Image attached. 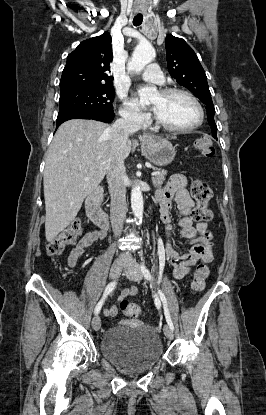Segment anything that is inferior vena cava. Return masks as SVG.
<instances>
[{
	"label": "inferior vena cava",
	"mask_w": 266,
	"mask_h": 415,
	"mask_svg": "<svg viewBox=\"0 0 266 415\" xmlns=\"http://www.w3.org/2000/svg\"><path fill=\"white\" fill-rule=\"evenodd\" d=\"M139 128L140 124L138 119L130 114H126L120 119H117L111 127L112 154L106 175L111 196L110 219L115 236L121 234L127 213L124 149L129 135L138 131ZM121 256L129 257L130 255L129 253H124Z\"/></svg>",
	"instance_id": "1"
}]
</instances>
